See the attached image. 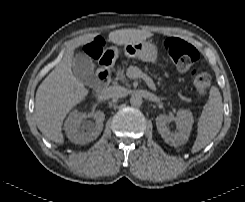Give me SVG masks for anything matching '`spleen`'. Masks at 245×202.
<instances>
[{"label":"spleen","instance_id":"spleen-1","mask_svg":"<svg viewBox=\"0 0 245 202\" xmlns=\"http://www.w3.org/2000/svg\"><path fill=\"white\" fill-rule=\"evenodd\" d=\"M223 121L222 96L217 87H211L208 102L198 120L197 137L192 153L204 148L218 134Z\"/></svg>","mask_w":245,"mask_h":202}]
</instances>
